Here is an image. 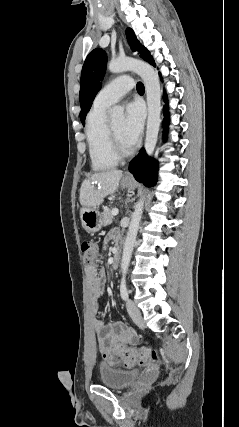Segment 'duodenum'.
<instances>
[{
  "mask_svg": "<svg viewBox=\"0 0 239 427\" xmlns=\"http://www.w3.org/2000/svg\"><path fill=\"white\" fill-rule=\"evenodd\" d=\"M120 258H121V250H120V247L117 246L114 250L113 260H112V267L114 269H117L119 267Z\"/></svg>",
  "mask_w": 239,
  "mask_h": 427,
  "instance_id": "410a0bca",
  "label": "duodenum"
}]
</instances>
